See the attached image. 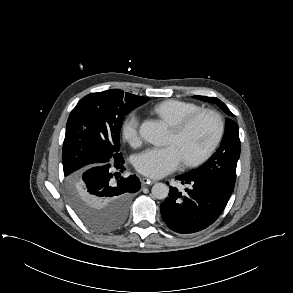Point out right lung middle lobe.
<instances>
[{
  "instance_id": "obj_1",
  "label": "right lung middle lobe",
  "mask_w": 293,
  "mask_h": 293,
  "mask_svg": "<svg viewBox=\"0 0 293 293\" xmlns=\"http://www.w3.org/2000/svg\"><path fill=\"white\" fill-rule=\"evenodd\" d=\"M145 102L140 96L112 89L88 94L70 113L62 151L66 188L74 210L93 229L114 230L124 218L116 213H97L89 208L81 174L91 165L122 159L119 149L123 119Z\"/></svg>"
}]
</instances>
